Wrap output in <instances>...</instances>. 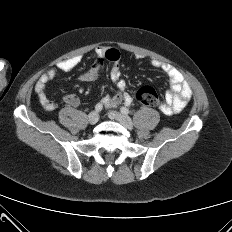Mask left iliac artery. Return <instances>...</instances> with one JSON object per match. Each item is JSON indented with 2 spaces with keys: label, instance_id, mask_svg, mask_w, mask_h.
Here are the masks:
<instances>
[{
  "label": "left iliac artery",
  "instance_id": "44dca946",
  "mask_svg": "<svg viewBox=\"0 0 232 232\" xmlns=\"http://www.w3.org/2000/svg\"><path fill=\"white\" fill-rule=\"evenodd\" d=\"M120 110H121V113H123V114H128L129 113V109L126 108V107H122Z\"/></svg>",
  "mask_w": 232,
  "mask_h": 232
}]
</instances>
